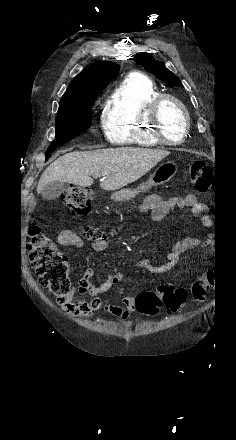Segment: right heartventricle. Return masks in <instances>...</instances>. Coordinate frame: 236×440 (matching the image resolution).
I'll return each mask as SVG.
<instances>
[{
	"instance_id": "1",
	"label": "right heart ventricle",
	"mask_w": 236,
	"mask_h": 440,
	"mask_svg": "<svg viewBox=\"0 0 236 440\" xmlns=\"http://www.w3.org/2000/svg\"><path fill=\"white\" fill-rule=\"evenodd\" d=\"M161 94L156 83L141 73L127 75L109 96L103 127L107 140L114 145L156 147L147 112L152 100Z\"/></svg>"
}]
</instances>
